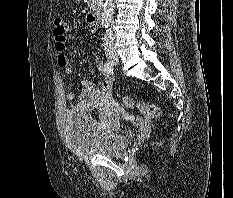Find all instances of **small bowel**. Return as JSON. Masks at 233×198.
Here are the masks:
<instances>
[{
	"label": "small bowel",
	"instance_id": "small-bowel-1",
	"mask_svg": "<svg viewBox=\"0 0 233 198\" xmlns=\"http://www.w3.org/2000/svg\"><path fill=\"white\" fill-rule=\"evenodd\" d=\"M65 44L66 36L62 38L54 36V48L56 51L57 64L64 69L66 74L73 75L74 69L71 65V61L64 53ZM94 62L97 70L104 76L102 88L98 89L90 80L82 79V90L79 93L78 101L73 103L71 106L72 111L83 112L92 108H102L113 102L111 94L113 78L105 72L104 63L99 57H96ZM66 99L68 101H74L75 94L73 92H68L66 94Z\"/></svg>",
	"mask_w": 233,
	"mask_h": 198
}]
</instances>
